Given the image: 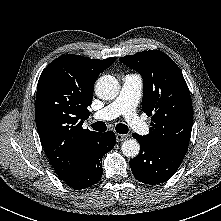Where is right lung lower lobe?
I'll list each match as a JSON object with an SVG mask.
<instances>
[{
	"label": "right lung lower lobe",
	"mask_w": 221,
	"mask_h": 221,
	"mask_svg": "<svg viewBox=\"0 0 221 221\" xmlns=\"http://www.w3.org/2000/svg\"><path fill=\"white\" fill-rule=\"evenodd\" d=\"M115 134L112 131L98 133L90 142L88 152L78 170L63 180L73 189H85L97 183L103 173L102 157L113 149Z\"/></svg>",
	"instance_id": "98d812e1"
}]
</instances>
